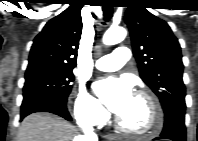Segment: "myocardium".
Instances as JSON below:
<instances>
[{"label":"myocardium","mask_w":198,"mask_h":141,"mask_svg":"<svg viewBox=\"0 0 198 141\" xmlns=\"http://www.w3.org/2000/svg\"><path fill=\"white\" fill-rule=\"evenodd\" d=\"M135 95L137 97L145 100L149 106L150 123H151L150 127L144 131H138V130L131 129L123 124V122L121 121L119 116L116 117L117 127L122 132L132 135V136H135V137H148V136L155 135L159 131V129L161 127V122H162L159 105H158L157 101L155 100V98L144 90L136 91Z\"/></svg>","instance_id":"obj_1"}]
</instances>
